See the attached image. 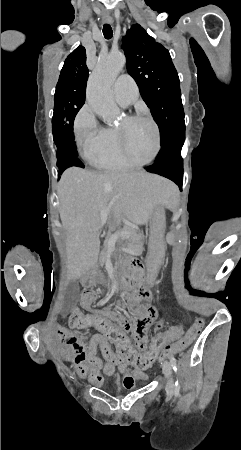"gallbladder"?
I'll list each match as a JSON object with an SVG mask.
<instances>
[{
    "label": "gallbladder",
    "mask_w": 241,
    "mask_h": 450,
    "mask_svg": "<svg viewBox=\"0 0 241 450\" xmlns=\"http://www.w3.org/2000/svg\"><path fill=\"white\" fill-rule=\"evenodd\" d=\"M77 282H73L66 288V296L62 303L61 312L67 315L70 310H77L78 308V298H79V288L76 286Z\"/></svg>",
    "instance_id": "bac80fb5"
}]
</instances>
